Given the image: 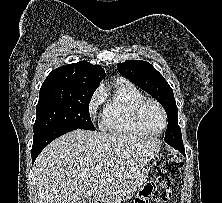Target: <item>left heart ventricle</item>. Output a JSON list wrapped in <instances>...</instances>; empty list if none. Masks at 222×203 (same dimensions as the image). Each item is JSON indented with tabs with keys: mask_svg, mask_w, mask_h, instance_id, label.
<instances>
[{
	"mask_svg": "<svg viewBox=\"0 0 222 203\" xmlns=\"http://www.w3.org/2000/svg\"><path fill=\"white\" fill-rule=\"evenodd\" d=\"M143 121L145 125L154 132L160 131L164 125V118L157 106L148 104L143 110Z\"/></svg>",
	"mask_w": 222,
	"mask_h": 203,
	"instance_id": "obj_1",
	"label": "left heart ventricle"
}]
</instances>
